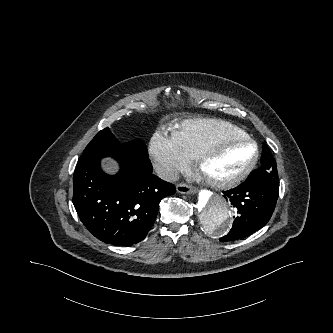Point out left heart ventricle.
Segmentation results:
<instances>
[{
	"mask_svg": "<svg viewBox=\"0 0 333 333\" xmlns=\"http://www.w3.org/2000/svg\"><path fill=\"white\" fill-rule=\"evenodd\" d=\"M252 152V148L242 141L223 142L206 159L202 173L215 179L229 177L249 161Z\"/></svg>",
	"mask_w": 333,
	"mask_h": 333,
	"instance_id": "b2bd125f",
	"label": "left heart ventricle"
}]
</instances>
